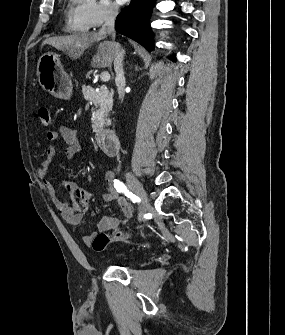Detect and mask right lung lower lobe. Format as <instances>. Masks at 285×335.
<instances>
[{
	"mask_svg": "<svg viewBox=\"0 0 285 335\" xmlns=\"http://www.w3.org/2000/svg\"><path fill=\"white\" fill-rule=\"evenodd\" d=\"M156 0H132L129 7L121 11L115 21L116 30L151 50L152 31L149 20ZM175 61V58H171Z\"/></svg>",
	"mask_w": 285,
	"mask_h": 335,
	"instance_id": "right-lung-lower-lobe-1",
	"label": "right lung lower lobe"
}]
</instances>
